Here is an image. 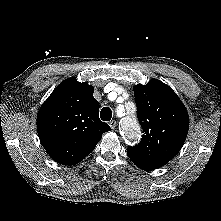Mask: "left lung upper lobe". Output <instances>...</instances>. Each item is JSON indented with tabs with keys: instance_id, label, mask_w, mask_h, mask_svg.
I'll list each match as a JSON object with an SVG mask.
<instances>
[{
	"instance_id": "5c2ea615",
	"label": "left lung upper lobe",
	"mask_w": 221,
	"mask_h": 221,
	"mask_svg": "<svg viewBox=\"0 0 221 221\" xmlns=\"http://www.w3.org/2000/svg\"><path fill=\"white\" fill-rule=\"evenodd\" d=\"M133 89L144 134L138 145L128 147V156L161 167L184 144L189 127L187 110L174 91L158 79Z\"/></svg>"
}]
</instances>
